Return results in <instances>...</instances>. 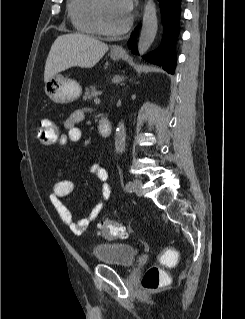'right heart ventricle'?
<instances>
[{"label": "right heart ventricle", "instance_id": "right-heart-ventricle-1", "mask_svg": "<svg viewBox=\"0 0 245 319\" xmlns=\"http://www.w3.org/2000/svg\"><path fill=\"white\" fill-rule=\"evenodd\" d=\"M97 0H69L68 14L75 29L87 35L100 34L96 23Z\"/></svg>", "mask_w": 245, "mask_h": 319}]
</instances>
